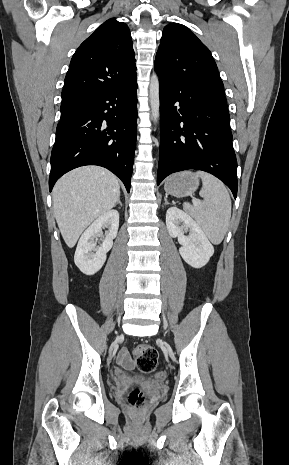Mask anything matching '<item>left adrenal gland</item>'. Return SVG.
<instances>
[{
    "label": "left adrenal gland",
    "instance_id": "left-adrenal-gland-1",
    "mask_svg": "<svg viewBox=\"0 0 289 465\" xmlns=\"http://www.w3.org/2000/svg\"><path fill=\"white\" fill-rule=\"evenodd\" d=\"M164 201H165L164 205L169 204L168 201H167V196L164 197Z\"/></svg>",
    "mask_w": 289,
    "mask_h": 465
}]
</instances>
